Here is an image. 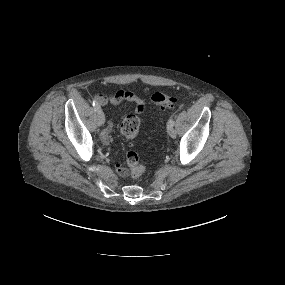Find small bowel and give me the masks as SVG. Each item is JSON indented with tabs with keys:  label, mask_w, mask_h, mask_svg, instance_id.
Returning <instances> with one entry per match:
<instances>
[{
	"label": "small bowel",
	"mask_w": 285,
	"mask_h": 285,
	"mask_svg": "<svg viewBox=\"0 0 285 285\" xmlns=\"http://www.w3.org/2000/svg\"><path fill=\"white\" fill-rule=\"evenodd\" d=\"M96 101L101 106H119L122 103H131L134 105V110L137 113L143 112L146 105L145 99L142 96H138L128 90H119L111 95L98 94L96 96ZM111 128L112 124L109 122L107 128L104 129L101 133V139L105 144H110L112 142V138L110 136ZM115 170L116 173L121 177H126L128 175V170L120 163H117L115 165Z\"/></svg>",
	"instance_id": "small-bowel-1"
}]
</instances>
